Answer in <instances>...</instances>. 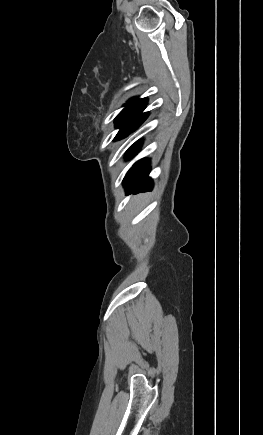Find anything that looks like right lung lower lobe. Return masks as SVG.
I'll return each mask as SVG.
<instances>
[{
    "label": "right lung lower lobe",
    "instance_id": "obj_1",
    "mask_svg": "<svg viewBox=\"0 0 263 435\" xmlns=\"http://www.w3.org/2000/svg\"><path fill=\"white\" fill-rule=\"evenodd\" d=\"M149 115L148 112L141 113L139 117L136 119L134 125L132 126L129 134L132 131H135L147 118ZM141 145V141L136 142L131 148L128 150V156H134L136 152L139 150ZM150 172V161L148 159H142L134 164V166L128 171L126 174L123 185L126 188V192L129 193H137L140 191H148L152 189V179L148 177Z\"/></svg>",
    "mask_w": 263,
    "mask_h": 435
}]
</instances>
